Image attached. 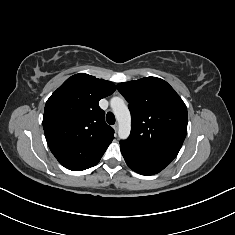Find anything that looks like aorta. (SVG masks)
I'll return each instance as SVG.
<instances>
[{
    "mask_svg": "<svg viewBox=\"0 0 235 235\" xmlns=\"http://www.w3.org/2000/svg\"><path fill=\"white\" fill-rule=\"evenodd\" d=\"M111 108L118 121V136L120 139H126L130 135L131 115L124 100L120 97H113L110 101Z\"/></svg>",
    "mask_w": 235,
    "mask_h": 235,
    "instance_id": "aorta-1",
    "label": "aorta"
}]
</instances>
